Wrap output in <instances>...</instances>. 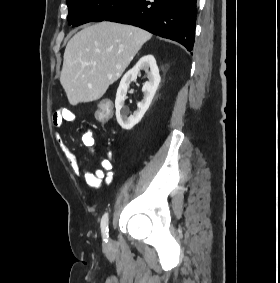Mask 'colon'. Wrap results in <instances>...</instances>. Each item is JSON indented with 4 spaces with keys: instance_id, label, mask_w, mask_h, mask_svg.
<instances>
[{
    "instance_id": "5ec220e1",
    "label": "colon",
    "mask_w": 280,
    "mask_h": 283,
    "mask_svg": "<svg viewBox=\"0 0 280 283\" xmlns=\"http://www.w3.org/2000/svg\"><path fill=\"white\" fill-rule=\"evenodd\" d=\"M112 112H115V107H111L109 101H101L98 110L94 111L95 120H99L100 124H107L112 119Z\"/></svg>"
}]
</instances>
